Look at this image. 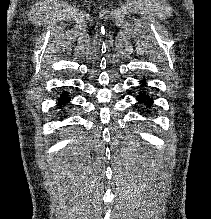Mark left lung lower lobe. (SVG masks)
I'll list each match as a JSON object with an SVG mask.
<instances>
[{"instance_id":"0a47b994","label":"left lung lower lobe","mask_w":211,"mask_h":219,"mask_svg":"<svg viewBox=\"0 0 211 219\" xmlns=\"http://www.w3.org/2000/svg\"><path fill=\"white\" fill-rule=\"evenodd\" d=\"M143 86H146L145 81H142ZM138 101L141 103H146L150 105L152 103V99L146 94V92L140 93V95L137 98Z\"/></svg>"}]
</instances>
